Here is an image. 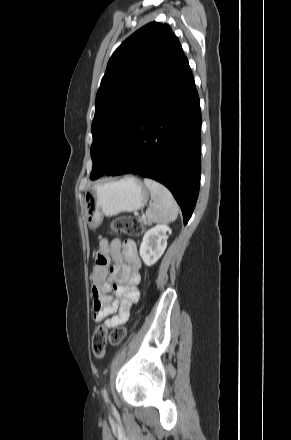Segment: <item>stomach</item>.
I'll list each match as a JSON object with an SVG mask.
<instances>
[{"label": "stomach", "instance_id": "stomach-1", "mask_svg": "<svg viewBox=\"0 0 291 440\" xmlns=\"http://www.w3.org/2000/svg\"><path fill=\"white\" fill-rule=\"evenodd\" d=\"M149 198V190L134 176L93 185L85 191L83 210L88 225L97 227L103 216H116L121 212H133L143 208Z\"/></svg>", "mask_w": 291, "mask_h": 440}]
</instances>
